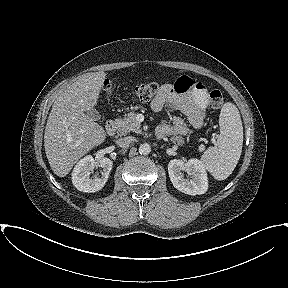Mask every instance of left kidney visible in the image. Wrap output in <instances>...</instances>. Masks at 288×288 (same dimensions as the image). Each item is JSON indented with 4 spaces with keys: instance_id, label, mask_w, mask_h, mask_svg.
<instances>
[{
    "instance_id": "1",
    "label": "left kidney",
    "mask_w": 288,
    "mask_h": 288,
    "mask_svg": "<svg viewBox=\"0 0 288 288\" xmlns=\"http://www.w3.org/2000/svg\"><path fill=\"white\" fill-rule=\"evenodd\" d=\"M184 171L188 173V178H184ZM168 173L173 186L185 194L201 195L208 189L207 173L198 159H190L187 163L179 159L171 160Z\"/></svg>"
}]
</instances>
